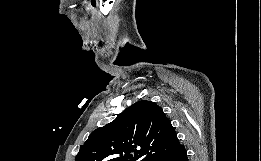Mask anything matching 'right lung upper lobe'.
I'll return each instance as SVG.
<instances>
[{
    "label": "right lung upper lobe",
    "instance_id": "right-lung-upper-lobe-1",
    "mask_svg": "<svg viewBox=\"0 0 261 161\" xmlns=\"http://www.w3.org/2000/svg\"><path fill=\"white\" fill-rule=\"evenodd\" d=\"M179 144L163 110L154 102L141 100L111 123L94 130L81 145L75 161H149Z\"/></svg>",
    "mask_w": 261,
    "mask_h": 161
}]
</instances>
